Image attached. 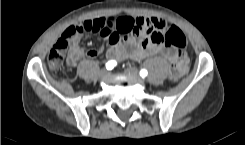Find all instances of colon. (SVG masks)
Masks as SVG:
<instances>
[{"instance_id": "1", "label": "colon", "mask_w": 245, "mask_h": 145, "mask_svg": "<svg viewBox=\"0 0 245 145\" xmlns=\"http://www.w3.org/2000/svg\"><path fill=\"white\" fill-rule=\"evenodd\" d=\"M90 28V23L83 25H73L65 30L62 37L57 40L48 55V64L51 69L58 70L62 67L67 40L70 36ZM144 38L150 40L155 45H167L176 50L186 49L188 47L187 39L184 33L175 25H167L163 32L154 31L150 28L144 32ZM178 73V67L175 63L171 64L170 77L174 78Z\"/></svg>"}]
</instances>
